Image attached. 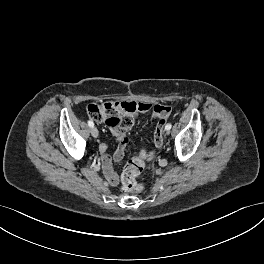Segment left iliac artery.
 I'll list each match as a JSON object with an SVG mask.
<instances>
[{
  "instance_id": "left-iliac-artery-1",
  "label": "left iliac artery",
  "mask_w": 264,
  "mask_h": 264,
  "mask_svg": "<svg viewBox=\"0 0 264 264\" xmlns=\"http://www.w3.org/2000/svg\"><path fill=\"white\" fill-rule=\"evenodd\" d=\"M171 127H172L171 123H168V124L165 126V129H166V130H170Z\"/></svg>"
}]
</instances>
